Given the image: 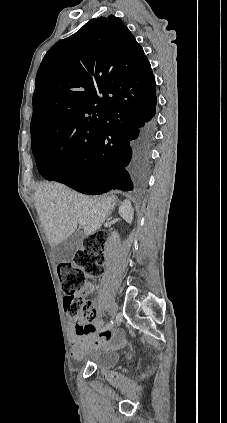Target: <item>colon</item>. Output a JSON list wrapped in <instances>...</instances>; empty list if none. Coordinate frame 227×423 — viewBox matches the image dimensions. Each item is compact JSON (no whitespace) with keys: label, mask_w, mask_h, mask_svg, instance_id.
I'll return each instance as SVG.
<instances>
[{"label":"colon","mask_w":227,"mask_h":423,"mask_svg":"<svg viewBox=\"0 0 227 423\" xmlns=\"http://www.w3.org/2000/svg\"><path fill=\"white\" fill-rule=\"evenodd\" d=\"M106 244L107 234L103 231L97 232L85 239L84 249L78 251L72 260L58 264L65 294L64 308L76 322L87 323L95 317L93 308L85 301L81 291L86 285L87 277L102 273Z\"/></svg>","instance_id":"colon-1"}]
</instances>
